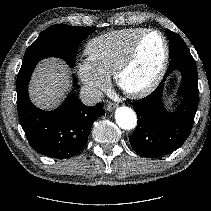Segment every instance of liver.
<instances>
[{
	"instance_id": "obj_1",
	"label": "liver",
	"mask_w": 211,
	"mask_h": 211,
	"mask_svg": "<svg viewBox=\"0 0 211 211\" xmlns=\"http://www.w3.org/2000/svg\"><path fill=\"white\" fill-rule=\"evenodd\" d=\"M69 73L67 66L56 58L41 61L29 86L32 103L43 110L57 107L69 91Z\"/></svg>"
}]
</instances>
